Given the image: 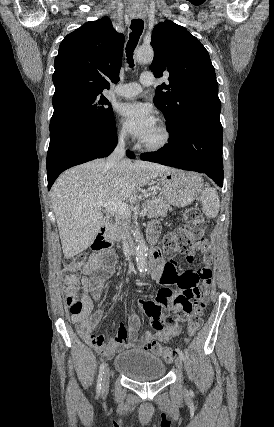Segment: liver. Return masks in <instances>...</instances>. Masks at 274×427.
<instances>
[{
  "label": "liver",
  "instance_id": "obj_1",
  "mask_svg": "<svg viewBox=\"0 0 274 427\" xmlns=\"http://www.w3.org/2000/svg\"><path fill=\"white\" fill-rule=\"evenodd\" d=\"M105 160H93L66 170L51 190L64 257H74L93 243L103 214L96 202H124L136 190L172 168L152 162L120 160L117 168H105Z\"/></svg>",
  "mask_w": 274,
  "mask_h": 427
}]
</instances>
